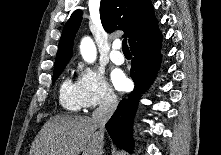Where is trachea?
Returning <instances> with one entry per match:
<instances>
[{
	"label": "trachea",
	"mask_w": 221,
	"mask_h": 155,
	"mask_svg": "<svg viewBox=\"0 0 221 155\" xmlns=\"http://www.w3.org/2000/svg\"><path fill=\"white\" fill-rule=\"evenodd\" d=\"M122 50L124 53L130 52L128 44H127V39H123L122 41Z\"/></svg>",
	"instance_id": "3493384b"
}]
</instances>
